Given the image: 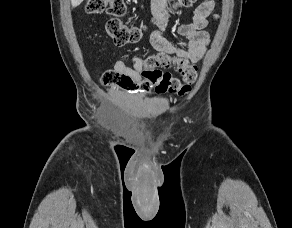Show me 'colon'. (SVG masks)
Instances as JSON below:
<instances>
[{
	"label": "colon",
	"mask_w": 292,
	"mask_h": 228,
	"mask_svg": "<svg viewBox=\"0 0 292 228\" xmlns=\"http://www.w3.org/2000/svg\"><path fill=\"white\" fill-rule=\"evenodd\" d=\"M195 2L196 0H177L176 4L179 7H190ZM85 11L87 14L106 12L110 15L106 22V31L118 46L135 44L143 37V26L127 25L120 20V17L126 12L125 0H87ZM154 21L158 23L156 17ZM172 64L180 73L181 79L173 78L156 68L158 65L169 67ZM196 78L197 70L195 66L186 65L181 61H174L165 56H151L146 59V68L143 70L139 81H135L124 73L109 70L103 73L101 82L105 86L116 85L129 92L139 94L156 90L158 92L185 95L191 91Z\"/></svg>",
	"instance_id": "colon-1"
}]
</instances>
